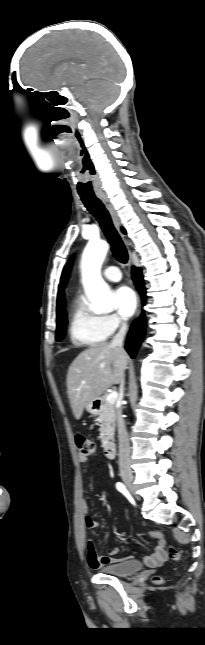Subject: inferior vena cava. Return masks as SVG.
<instances>
[{"mask_svg":"<svg viewBox=\"0 0 205 645\" xmlns=\"http://www.w3.org/2000/svg\"><path fill=\"white\" fill-rule=\"evenodd\" d=\"M126 330H127V323L122 322L118 333L113 337L111 341V346L122 348ZM123 391H124V379H122L120 384L121 395H123ZM116 419H117L118 441H119V468H120V471L131 472L130 444H129L128 433L122 416L121 408H118L116 411Z\"/></svg>","mask_w":205,"mask_h":645,"instance_id":"602c4592","label":"inferior vena cava"}]
</instances>
